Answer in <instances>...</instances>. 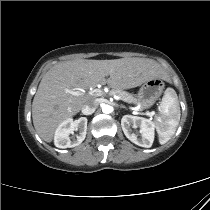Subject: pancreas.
<instances>
[{"instance_id":"pancreas-1","label":"pancreas","mask_w":210,"mask_h":210,"mask_svg":"<svg viewBox=\"0 0 210 210\" xmlns=\"http://www.w3.org/2000/svg\"><path fill=\"white\" fill-rule=\"evenodd\" d=\"M110 95H117L119 96L123 101L131 103L134 99L133 95L129 92L120 90V89H112L110 91Z\"/></svg>"}]
</instances>
